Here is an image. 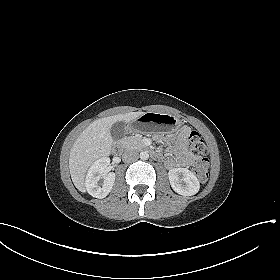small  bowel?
Masks as SVG:
<instances>
[{"label":"small bowel","mask_w":280,"mask_h":280,"mask_svg":"<svg viewBox=\"0 0 280 280\" xmlns=\"http://www.w3.org/2000/svg\"><path fill=\"white\" fill-rule=\"evenodd\" d=\"M190 128L183 126L178 132L177 136L171 141V157L165 161L168 169L176 167H188L200 159V157L187 147V139Z\"/></svg>","instance_id":"small-bowel-1"}]
</instances>
